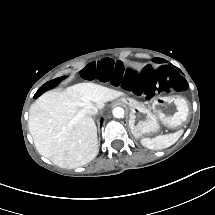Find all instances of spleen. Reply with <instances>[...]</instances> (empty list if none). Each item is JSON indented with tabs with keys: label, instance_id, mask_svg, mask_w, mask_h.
<instances>
[{
	"label": "spleen",
	"instance_id": "3e777b00",
	"mask_svg": "<svg viewBox=\"0 0 215 215\" xmlns=\"http://www.w3.org/2000/svg\"><path fill=\"white\" fill-rule=\"evenodd\" d=\"M183 130L173 133L157 135L153 138L142 137L141 144L150 150H162L175 144L181 137Z\"/></svg>",
	"mask_w": 215,
	"mask_h": 215
}]
</instances>
